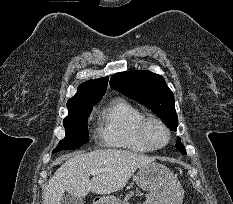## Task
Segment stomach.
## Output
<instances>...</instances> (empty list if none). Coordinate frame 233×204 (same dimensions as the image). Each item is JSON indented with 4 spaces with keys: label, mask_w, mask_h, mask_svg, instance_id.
<instances>
[{
    "label": "stomach",
    "mask_w": 233,
    "mask_h": 204,
    "mask_svg": "<svg viewBox=\"0 0 233 204\" xmlns=\"http://www.w3.org/2000/svg\"><path fill=\"white\" fill-rule=\"evenodd\" d=\"M137 185L149 191L144 204H182L184 191L177 177L160 163H149L138 169L134 176ZM101 204H125L105 199Z\"/></svg>",
    "instance_id": "stomach-1"
}]
</instances>
